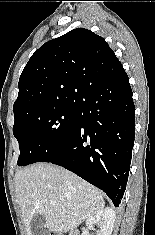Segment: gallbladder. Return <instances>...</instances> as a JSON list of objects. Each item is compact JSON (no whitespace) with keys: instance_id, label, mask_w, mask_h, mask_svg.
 I'll return each instance as SVG.
<instances>
[{"instance_id":"obj_1","label":"gallbladder","mask_w":155,"mask_h":235,"mask_svg":"<svg viewBox=\"0 0 155 235\" xmlns=\"http://www.w3.org/2000/svg\"><path fill=\"white\" fill-rule=\"evenodd\" d=\"M44 224H45L44 216L40 214L34 215L31 222L33 235H50L48 229L44 226Z\"/></svg>"}]
</instances>
